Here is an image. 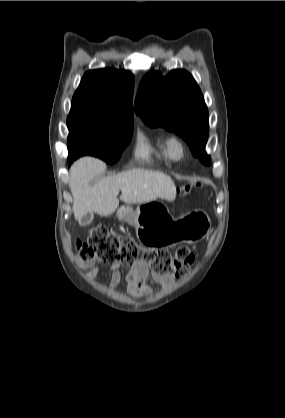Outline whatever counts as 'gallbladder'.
<instances>
[{
    "mask_svg": "<svg viewBox=\"0 0 285 418\" xmlns=\"http://www.w3.org/2000/svg\"><path fill=\"white\" fill-rule=\"evenodd\" d=\"M93 212H88L86 214H84L80 220V225L82 226H87L88 224L91 223V221L93 220Z\"/></svg>",
    "mask_w": 285,
    "mask_h": 418,
    "instance_id": "bac80fb5",
    "label": "gallbladder"
}]
</instances>
